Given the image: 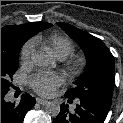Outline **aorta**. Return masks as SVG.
<instances>
[{
    "label": "aorta",
    "instance_id": "1",
    "mask_svg": "<svg viewBox=\"0 0 123 123\" xmlns=\"http://www.w3.org/2000/svg\"><path fill=\"white\" fill-rule=\"evenodd\" d=\"M32 61L35 65L39 67H48L53 64L52 58L44 52H38L33 54ZM45 111L50 116L56 117L60 113V104L55 101L48 102L45 106Z\"/></svg>",
    "mask_w": 123,
    "mask_h": 123
}]
</instances>
